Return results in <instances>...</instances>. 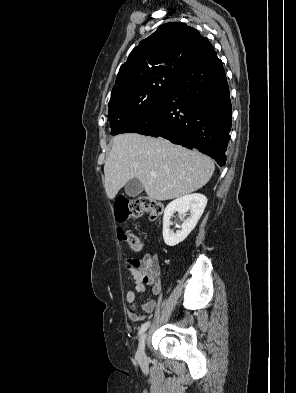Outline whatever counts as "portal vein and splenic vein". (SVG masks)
I'll return each mask as SVG.
<instances>
[{
  "instance_id": "portal-vein-and-splenic-vein-1",
  "label": "portal vein and splenic vein",
  "mask_w": 296,
  "mask_h": 393,
  "mask_svg": "<svg viewBox=\"0 0 296 393\" xmlns=\"http://www.w3.org/2000/svg\"><path fill=\"white\" fill-rule=\"evenodd\" d=\"M152 177H157V174L155 172H151Z\"/></svg>"
}]
</instances>
